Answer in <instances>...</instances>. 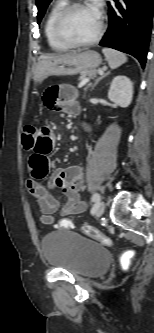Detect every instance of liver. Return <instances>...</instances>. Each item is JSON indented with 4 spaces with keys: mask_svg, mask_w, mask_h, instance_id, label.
I'll use <instances>...</instances> for the list:
<instances>
[{
    "mask_svg": "<svg viewBox=\"0 0 154 333\" xmlns=\"http://www.w3.org/2000/svg\"><path fill=\"white\" fill-rule=\"evenodd\" d=\"M62 56V55H60ZM56 57H59L57 55H41L38 60H47V59H52V58H56Z\"/></svg>",
    "mask_w": 154,
    "mask_h": 333,
    "instance_id": "6515ba94",
    "label": "liver"
}]
</instances>
